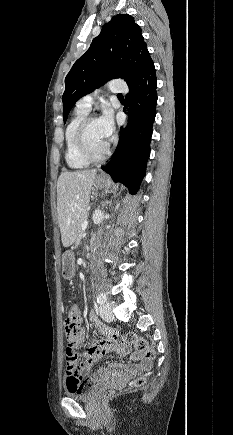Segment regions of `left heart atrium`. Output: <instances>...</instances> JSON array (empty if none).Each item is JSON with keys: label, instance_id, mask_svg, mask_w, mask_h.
Here are the masks:
<instances>
[{"label": "left heart atrium", "instance_id": "1", "mask_svg": "<svg viewBox=\"0 0 233 435\" xmlns=\"http://www.w3.org/2000/svg\"><path fill=\"white\" fill-rule=\"evenodd\" d=\"M98 121L101 124L105 136L110 138L114 130L112 112L109 109H105Z\"/></svg>", "mask_w": 233, "mask_h": 435}]
</instances>
